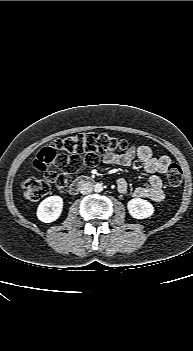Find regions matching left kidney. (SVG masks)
<instances>
[{
  "mask_svg": "<svg viewBox=\"0 0 193 351\" xmlns=\"http://www.w3.org/2000/svg\"><path fill=\"white\" fill-rule=\"evenodd\" d=\"M127 208L130 215L135 219H145L154 213L153 205L141 198L131 199L127 203Z\"/></svg>",
  "mask_w": 193,
  "mask_h": 351,
  "instance_id": "left-kidney-1",
  "label": "left kidney"
}]
</instances>
